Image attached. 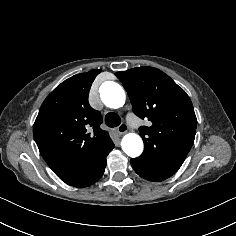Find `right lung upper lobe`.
Wrapping results in <instances>:
<instances>
[{"label": "right lung upper lobe", "instance_id": "cb5924a9", "mask_svg": "<svg viewBox=\"0 0 236 236\" xmlns=\"http://www.w3.org/2000/svg\"><path fill=\"white\" fill-rule=\"evenodd\" d=\"M100 72L95 69L65 80L39 110L33 135L54 173L89 165L112 143L109 134L99 127L100 112L88 103L90 87Z\"/></svg>", "mask_w": 236, "mask_h": 236}]
</instances>
